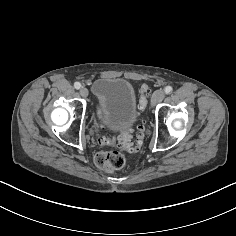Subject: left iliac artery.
Masks as SVG:
<instances>
[{"label":"left iliac artery","mask_w":236,"mask_h":236,"mask_svg":"<svg viewBox=\"0 0 236 236\" xmlns=\"http://www.w3.org/2000/svg\"><path fill=\"white\" fill-rule=\"evenodd\" d=\"M173 88L171 86H166L164 91L166 94H170L172 92Z\"/></svg>","instance_id":"1"}]
</instances>
